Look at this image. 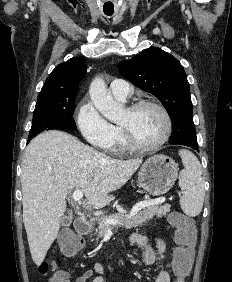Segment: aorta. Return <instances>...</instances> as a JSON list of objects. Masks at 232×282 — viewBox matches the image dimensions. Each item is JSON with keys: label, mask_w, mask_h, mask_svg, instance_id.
Returning a JSON list of instances; mask_svg holds the SVG:
<instances>
[{"label": "aorta", "mask_w": 232, "mask_h": 282, "mask_svg": "<svg viewBox=\"0 0 232 282\" xmlns=\"http://www.w3.org/2000/svg\"><path fill=\"white\" fill-rule=\"evenodd\" d=\"M90 99L96 109L111 122H118L122 118L123 107L117 104L108 92L101 77L92 80L89 87Z\"/></svg>", "instance_id": "762f6f07"}]
</instances>
